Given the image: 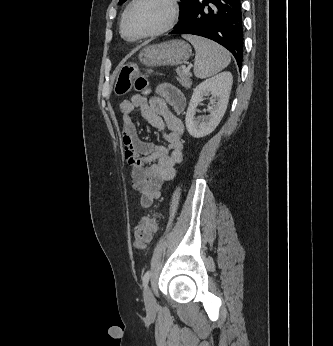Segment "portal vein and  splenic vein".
Wrapping results in <instances>:
<instances>
[{
    "mask_svg": "<svg viewBox=\"0 0 333 346\" xmlns=\"http://www.w3.org/2000/svg\"><path fill=\"white\" fill-rule=\"evenodd\" d=\"M184 72L189 73V68H184Z\"/></svg>",
    "mask_w": 333,
    "mask_h": 346,
    "instance_id": "1",
    "label": "portal vein and splenic vein"
}]
</instances>
